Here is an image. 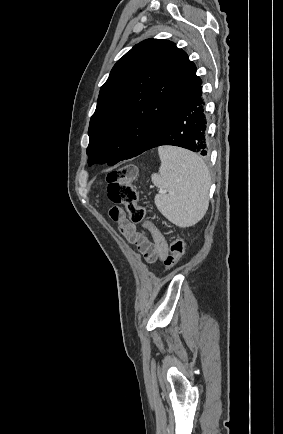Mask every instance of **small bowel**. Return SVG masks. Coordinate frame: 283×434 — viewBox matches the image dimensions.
Returning a JSON list of instances; mask_svg holds the SVG:
<instances>
[{"label":"small bowel","mask_w":283,"mask_h":434,"mask_svg":"<svg viewBox=\"0 0 283 434\" xmlns=\"http://www.w3.org/2000/svg\"><path fill=\"white\" fill-rule=\"evenodd\" d=\"M110 218L116 223L120 233L130 243L135 245L148 263L164 261L169 254L168 244L163 234L152 223L146 225L150 230L151 237L145 232L137 230L125 211L119 207H113L109 212Z\"/></svg>","instance_id":"c3829d8e"}]
</instances>
